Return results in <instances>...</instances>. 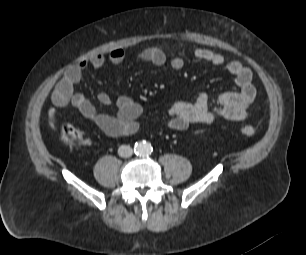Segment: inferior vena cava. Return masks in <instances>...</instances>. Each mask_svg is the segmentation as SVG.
<instances>
[{"mask_svg":"<svg viewBox=\"0 0 306 255\" xmlns=\"http://www.w3.org/2000/svg\"><path fill=\"white\" fill-rule=\"evenodd\" d=\"M118 154H119L120 157L128 158V157L132 156L133 149L128 145H121L118 148Z\"/></svg>","mask_w":306,"mask_h":255,"instance_id":"inferior-vena-cava-1","label":"inferior vena cava"}]
</instances>
